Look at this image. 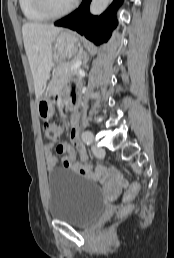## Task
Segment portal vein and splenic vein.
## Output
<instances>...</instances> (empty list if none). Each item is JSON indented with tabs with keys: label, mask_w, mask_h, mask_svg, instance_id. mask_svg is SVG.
<instances>
[{
	"label": "portal vein and splenic vein",
	"mask_w": 174,
	"mask_h": 258,
	"mask_svg": "<svg viewBox=\"0 0 174 258\" xmlns=\"http://www.w3.org/2000/svg\"><path fill=\"white\" fill-rule=\"evenodd\" d=\"M81 66V61L76 62L74 65L70 67V70H76Z\"/></svg>",
	"instance_id": "18ae733b"
}]
</instances>
